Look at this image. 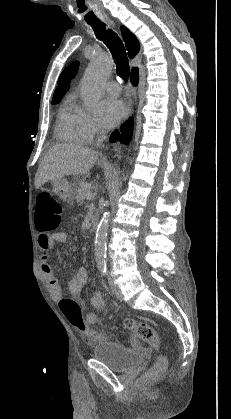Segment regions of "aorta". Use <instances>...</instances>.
Segmentation results:
<instances>
[{
	"label": "aorta",
	"instance_id": "762f6f07",
	"mask_svg": "<svg viewBox=\"0 0 231 419\" xmlns=\"http://www.w3.org/2000/svg\"><path fill=\"white\" fill-rule=\"evenodd\" d=\"M112 68L113 62L106 55H96L90 62L81 84V96L89 112L99 111L103 92L102 85ZM109 221L110 212H104L96 230L94 254L98 266L105 265Z\"/></svg>",
	"mask_w": 231,
	"mask_h": 419
}]
</instances>
